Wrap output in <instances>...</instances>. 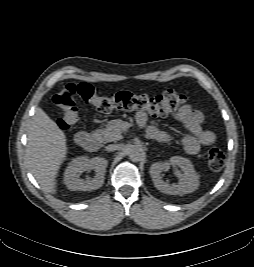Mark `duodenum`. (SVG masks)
<instances>
[{
  "label": "duodenum",
  "mask_w": 254,
  "mask_h": 267,
  "mask_svg": "<svg viewBox=\"0 0 254 267\" xmlns=\"http://www.w3.org/2000/svg\"><path fill=\"white\" fill-rule=\"evenodd\" d=\"M75 142L77 145L90 152H95L100 148L99 138L87 132L77 133Z\"/></svg>",
  "instance_id": "obj_1"
}]
</instances>
